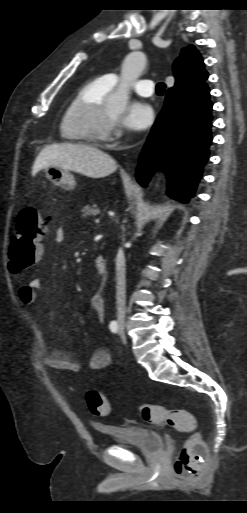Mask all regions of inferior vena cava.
I'll return each mask as SVG.
<instances>
[{
	"label": "inferior vena cava",
	"mask_w": 247,
	"mask_h": 513,
	"mask_svg": "<svg viewBox=\"0 0 247 513\" xmlns=\"http://www.w3.org/2000/svg\"><path fill=\"white\" fill-rule=\"evenodd\" d=\"M116 299L117 317L124 318L125 315V257L123 249L120 248L116 258Z\"/></svg>",
	"instance_id": "1"
}]
</instances>
